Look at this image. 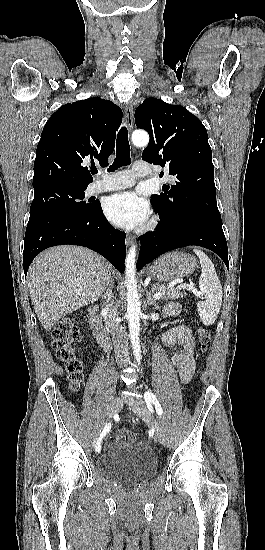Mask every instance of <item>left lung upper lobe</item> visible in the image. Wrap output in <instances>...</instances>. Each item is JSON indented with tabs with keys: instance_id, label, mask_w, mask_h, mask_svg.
<instances>
[{
	"instance_id": "left-lung-upper-lobe-1",
	"label": "left lung upper lobe",
	"mask_w": 265,
	"mask_h": 550,
	"mask_svg": "<svg viewBox=\"0 0 265 550\" xmlns=\"http://www.w3.org/2000/svg\"><path fill=\"white\" fill-rule=\"evenodd\" d=\"M136 126L150 135L142 159L167 167L164 193L151 196L161 220L196 213L221 221L216 202L212 151L202 122L180 105L148 98L135 111ZM163 175V172L161 173Z\"/></svg>"
}]
</instances>
